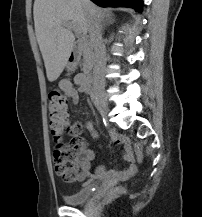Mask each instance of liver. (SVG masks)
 <instances>
[{
    "label": "liver",
    "mask_w": 202,
    "mask_h": 217,
    "mask_svg": "<svg viewBox=\"0 0 202 217\" xmlns=\"http://www.w3.org/2000/svg\"><path fill=\"white\" fill-rule=\"evenodd\" d=\"M33 15L47 78L52 82L64 70L74 47L75 37L64 23H73L86 35L90 18L99 20L105 13L90 0H35Z\"/></svg>",
    "instance_id": "liver-1"
}]
</instances>
